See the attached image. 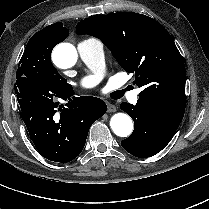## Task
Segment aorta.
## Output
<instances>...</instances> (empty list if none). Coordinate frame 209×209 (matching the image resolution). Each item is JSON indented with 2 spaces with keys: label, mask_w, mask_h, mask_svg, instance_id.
<instances>
[{
  "label": "aorta",
  "mask_w": 209,
  "mask_h": 209,
  "mask_svg": "<svg viewBox=\"0 0 209 209\" xmlns=\"http://www.w3.org/2000/svg\"><path fill=\"white\" fill-rule=\"evenodd\" d=\"M53 61L60 68H69L77 61V51L72 44L61 43L53 50ZM110 127L120 137H127L133 131V122L125 113H116L111 117Z\"/></svg>",
  "instance_id": "obj_1"
}]
</instances>
